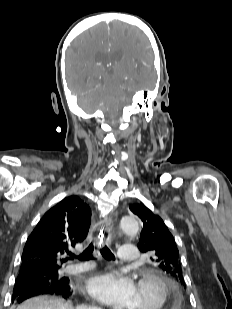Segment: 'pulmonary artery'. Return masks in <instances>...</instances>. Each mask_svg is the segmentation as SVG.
Wrapping results in <instances>:
<instances>
[{"mask_svg":"<svg viewBox=\"0 0 232 309\" xmlns=\"http://www.w3.org/2000/svg\"><path fill=\"white\" fill-rule=\"evenodd\" d=\"M118 258L122 262H133L137 259L136 248L132 245L122 246L118 250ZM90 268L88 264H71L65 267L63 272L69 274H78L87 271Z\"/></svg>","mask_w":232,"mask_h":309,"instance_id":"obj_1","label":"pulmonary artery"}]
</instances>
